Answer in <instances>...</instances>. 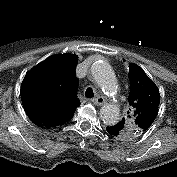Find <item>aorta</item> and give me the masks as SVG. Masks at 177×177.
<instances>
[{
  "mask_svg": "<svg viewBox=\"0 0 177 177\" xmlns=\"http://www.w3.org/2000/svg\"><path fill=\"white\" fill-rule=\"evenodd\" d=\"M93 79L106 95L117 92V81L111 66L105 61H96L91 66ZM100 117L107 125H115L120 117V109L113 104H104L100 109Z\"/></svg>",
  "mask_w": 177,
  "mask_h": 177,
  "instance_id": "obj_1",
  "label": "aorta"
}]
</instances>
